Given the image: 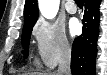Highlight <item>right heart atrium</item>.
Segmentation results:
<instances>
[{
    "label": "right heart atrium",
    "mask_w": 107,
    "mask_h": 75,
    "mask_svg": "<svg viewBox=\"0 0 107 75\" xmlns=\"http://www.w3.org/2000/svg\"><path fill=\"white\" fill-rule=\"evenodd\" d=\"M40 62L52 68L71 54V44L64 28L55 22L38 19L32 28Z\"/></svg>",
    "instance_id": "right-heart-atrium-1"
}]
</instances>
